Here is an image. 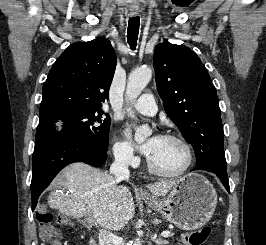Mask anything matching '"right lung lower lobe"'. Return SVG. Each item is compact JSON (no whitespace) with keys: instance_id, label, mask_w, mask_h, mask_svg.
<instances>
[{"instance_id":"98d812e1","label":"right lung lower lobe","mask_w":266,"mask_h":245,"mask_svg":"<svg viewBox=\"0 0 266 245\" xmlns=\"http://www.w3.org/2000/svg\"><path fill=\"white\" fill-rule=\"evenodd\" d=\"M106 158L107 151L66 134H56L35 142L31 181L32 210L37 205L39 195L63 167L72 162L99 167Z\"/></svg>"}]
</instances>
